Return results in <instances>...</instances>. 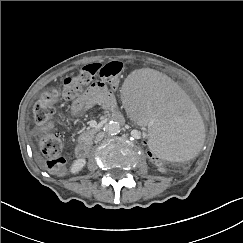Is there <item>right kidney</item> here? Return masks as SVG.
Masks as SVG:
<instances>
[{
    "instance_id": "right-kidney-1",
    "label": "right kidney",
    "mask_w": 243,
    "mask_h": 243,
    "mask_svg": "<svg viewBox=\"0 0 243 243\" xmlns=\"http://www.w3.org/2000/svg\"><path fill=\"white\" fill-rule=\"evenodd\" d=\"M85 164H86V160L83 158L75 160L71 166V172L72 173L79 172L80 170H82Z\"/></svg>"
}]
</instances>
